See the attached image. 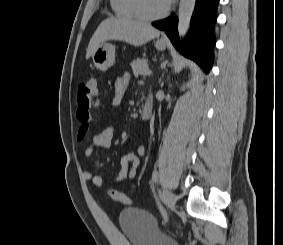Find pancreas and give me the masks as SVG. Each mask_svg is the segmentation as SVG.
Masks as SVG:
<instances>
[{"mask_svg": "<svg viewBox=\"0 0 283 245\" xmlns=\"http://www.w3.org/2000/svg\"><path fill=\"white\" fill-rule=\"evenodd\" d=\"M131 68L134 75L142 74L147 68V59L146 58H137L131 62Z\"/></svg>", "mask_w": 283, "mask_h": 245, "instance_id": "obj_1", "label": "pancreas"}]
</instances>
